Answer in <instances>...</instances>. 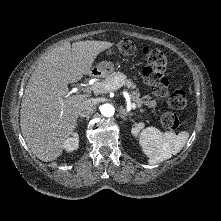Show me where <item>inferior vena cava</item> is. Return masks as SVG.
I'll list each match as a JSON object with an SVG mask.
<instances>
[{
	"mask_svg": "<svg viewBox=\"0 0 221 221\" xmlns=\"http://www.w3.org/2000/svg\"><path fill=\"white\" fill-rule=\"evenodd\" d=\"M96 102L94 99L84 100L79 107V115L81 117H88L95 112Z\"/></svg>",
	"mask_w": 221,
	"mask_h": 221,
	"instance_id": "602c4592",
	"label": "inferior vena cava"
}]
</instances>
